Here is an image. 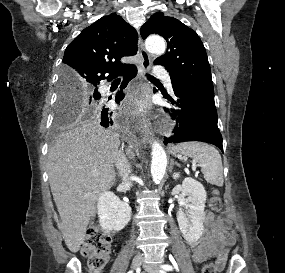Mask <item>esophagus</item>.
I'll return each instance as SVG.
<instances>
[{"instance_id": "esophagus-1", "label": "esophagus", "mask_w": 285, "mask_h": 273, "mask_svg": "<svg viewBox=\"0 0 285 273\" xmlns=\"http://www.w3.org/2000/svg\"><path fill=\"white\" fill-rule=\"evenodd\" d=\"M138 55L141 58V63H140V69L141 71L145 72L148 71L150 69L151 66V58L150 55L148 54V52L146 51L143 41L141 39V37H139L138 40ZM141 96L142 99L144 101L145 106L148 109H151L152 105H151V89L150 86L143 82L141 84ZM140 126L142 129V132L144 133V135L146 137L149 136L150 134V130H151V123L149 122V120L146 117H142L140 119Z\"/></svg>"}]
</instances>
